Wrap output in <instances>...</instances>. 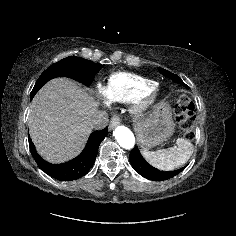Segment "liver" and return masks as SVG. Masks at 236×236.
I'll return each instance as SVG.
<instances>
[{"mask_svg": "<svg viewBox=\"0 0 236 236\" xmlns=\"http://www.w3.org/2000/svg\"><path fill=\"white\" fill-rule=\"evenodd\" d=\"M97 103L67 78L46 83L30 105L28 126L39 154L51 163L77 156L92 131Z\"/></svg>", "mask_w": 236, "mask_h": 236, "instance_id": "liver-1", "label": "liver"}]
</instances>
